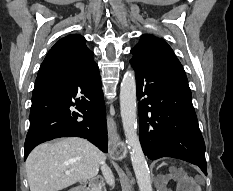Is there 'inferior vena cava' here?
<instances>
[{
    "instance_id": "obj_1",
    "label": "inferior vena cava",
    "mask_w": 233,
    "mask_h": 191,
    "mask_svg": "<svg viewBox=\"0 0 233 191\" xmlns=\"http://www.w3.org/2000/svg\"><path fill=\"white\" fill-rule=\"evenodd\" d=\"M101 171H102V174H103L106 182L110 186H114L115 179H114L113 173H112L111 169L105 164V162H103L101 165Z\"/></svg>"
}]
</instances>
